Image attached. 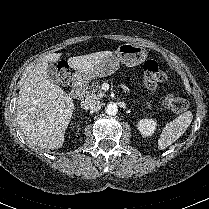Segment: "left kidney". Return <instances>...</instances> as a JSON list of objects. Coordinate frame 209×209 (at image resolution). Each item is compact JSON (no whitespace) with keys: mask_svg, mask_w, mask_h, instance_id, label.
Returning a JSON list of instances; mask_svg holds the SVG:
<instances>
[{"mask_svg":"<svg viewBox=\"0 0 209 209\" xmlns=\"http://www.w3.org/2000/svg\"><path fill=\"white\" fill-rule=\"evenodd\" d=\"M157 122L154 119H142L138 122L137 127L145 137L151 136L156 130Z\"/></svg>","mask_w":209,"mask_h":209,"instance_id":"left-kidney-1","label":"left kidney"}]
</instances>
